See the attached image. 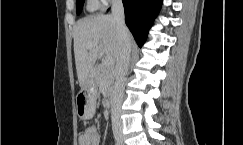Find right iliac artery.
<instances>
[{
	"label": "right iliac artery",
	"instance_id": "obj_1",
	"mask_svg": "<svg viewBox=\"0 0 243 145\" xmlns=\"http://www.w3.org/2000/svg\"><path fill=\"white\" fill-rule=\"evenodd\" d=\"M115 145H120V144H119V142H116V144H115Z\"/></svg>",
	"mask_w": 243,
	"mask_h": 145
}]
</instances>
